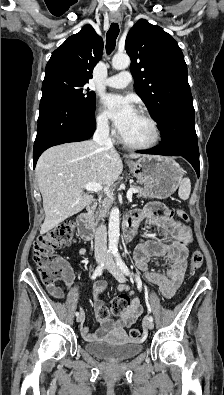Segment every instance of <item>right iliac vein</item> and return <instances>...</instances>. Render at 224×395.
<instances>
[{
	"label": "right iliac vein",
	"mask_w": 224,
	"mask_h": 395,
	"mask_svg": "<svg viewBox=\"0 0 224 395\" xmlns=\"http://www.w3.org/2000/svg\"><path fill=\"white\" fill-rule=\"evenodd\" d=\"M103 258H104L103 255H97V256H96V261H97V263L100 264V263L102 262ZM84 318H85L84 313L81 312L80 315L77 316L76 321H77V322H82V321H84Z\"/></svg>",
	"instance_id": "63e3f726"
}]
</instances>
